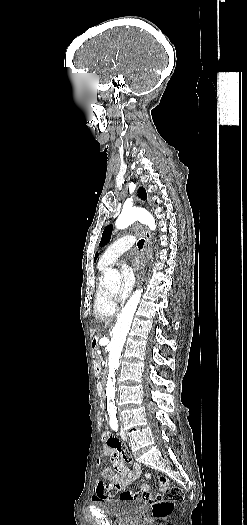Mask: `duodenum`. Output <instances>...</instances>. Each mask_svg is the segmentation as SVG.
Instances as JSON below:
<instances>
[{"instance_id":"obj_1","label":"duodenum","mask_w":247,"mask_h":525,"mask_svg":"<svg viewBox=\"0 0 247 525\" xmlns=\"http://www.w3.org/2000/svg\"><path fill=\"white\" fill-rule=\"evenodd\" d=\"M93 370H94V373L96 375L100 374V372H101V365H100V363L98 361L94 362ZM97 393H98L100 398L104 397L103 387L100 384L97 386Z\"/></svg>"}]
</instances>
